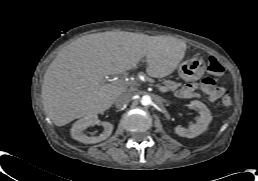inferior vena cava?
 <instances>
[{
  "mask_svg": "<svg viewBox=\"0 0 258 181\" xmlns=\"http://www.w3.org/2000/svg\"><path fill=\"white\" fill-rule=\"evenodd\" d=\"M132 94L129 92H125L120 94L114 101L115 106L117 108H122L125 105H127L129 103V101L131 100Z\"/></svg>",
  "mask_w": 258,
  "mask_h": 181,
  "instance_id": "602c4592",
  "label": "inferior vena cava"
}]
</instances>
